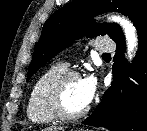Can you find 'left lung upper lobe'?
<instances>
[{
	"instance_id": "left-lung-upper-lobe-1",
	"label": "left lung upper lobe",
	"mask_w": 147,
	"mask_h": 131,
	"mask_svg": "<svg viewBox=\"0 0 147 131\" xmlns=\"http://www.w3.org/2000/svg\"><path fill=\"white\" fill-rule=\"evenodd\" d=\"M110 11L128 16L137 31L147 22V0H74L53 13L44 24L29 65L27 81L46 62L85 34L88 37L107 34L115 42L124 40L118 24L92 23L93 16Z\"/></svg>"
}]
</instances>
